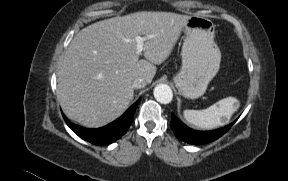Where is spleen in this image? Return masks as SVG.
I'll return each instance as SVG.
<instances>
[{
    "label": "spleen",
    "instance_id": "3e777b00",
    "mask_svg": "<svg viewBox=\"0 0 288 181\" xmlns=\"http://www.w3.org/2000/svg\"><path fill=\"white\" fill-rule=\"evenodd\" d=\"M239 107L236 98L227 97L203 110H184V118L195 127L213 129L227 124Z\"/></svg>",
    "mask_w": 288,
    "mask_h": 181
}]
</instances>
